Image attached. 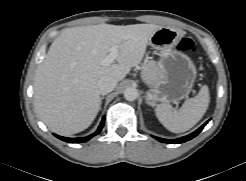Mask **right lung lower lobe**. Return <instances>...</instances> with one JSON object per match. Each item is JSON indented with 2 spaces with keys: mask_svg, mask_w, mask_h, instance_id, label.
Returning a JSON list of instances; mask_svg holds the SVG:
<instances>
[{
  "mask_svg": "<svg viewBox=\"0 0 246 181\" xmlns=\"http://www.w3.org/2000/svg\"><path fill=\"white\" fill-rule=\"evenodd\" d=\"M104 121H105V118L102 119L101 123H100V126L98 127L97 131L89 136H86V137H82V138H66V137H62V136H58V135H55L57 138H59L60 140H63L65 142H68V143H80V142H86L88 141L90 138L94 137L95 135H97L101 130H102V127L104 125Z\"/></svg>",
  "mask_w": 246,
  "mask_h": 181,
  "instance_id": "obj_1",
  "label": "right lung lower lobe"
}]
</instances>
